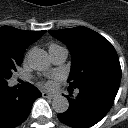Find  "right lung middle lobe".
<instances>
[{
	"instance_id": "1",
	"label": "right lung middle lobe",
	"mask_w": 128,
	"mask_h": 128,
	"mask_svg": "<svg viewBox=\"0 0 128 128\" xmlns=\"http://www.w3.org/2000/svg\"><path fill=\"white\" fill-rule=\"evenodd\" d=\"M22 63V58L11 57L6 54H0V84H6L11 78L12 72Z\"/></svg>"
}]
</instances>
